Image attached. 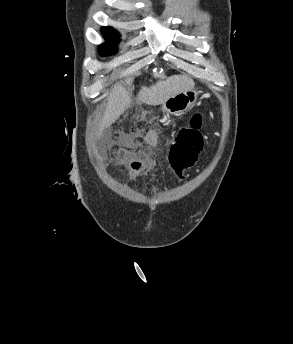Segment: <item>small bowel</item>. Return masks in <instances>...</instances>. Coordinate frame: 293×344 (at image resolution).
<instances>
[{"label":"small bowel","mask_w":293,"mask_h":344,"mask_svg":"<svg viewBox=\"0 0 293 344\" xmlns=\"http://www.w3.org/2000/svg\"><path fill=\"white\" fill-rule=\"evenodd\" d=\"M159 137L154 130L145 131L142 135L137 137H130L125 145L128 148H134L140 143L145 144L149 148H155L158 145Z\"/></svg>","instance_id":"c3829d8e"}]
</instances>
